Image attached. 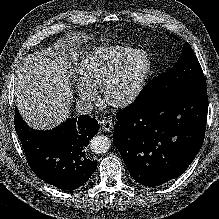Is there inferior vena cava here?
I'll list each match as a JSON object with an SVG mask.
<instances>
[{
  "label": "inferior vena cava",
  "mask_w": 219,
  "mask_h": 219,
  "mask_svg": "<svg viewBox=\"0 0 219 219\" xmlns=\"http://www.w3.org/2000/svg\"><path fill=\"white\" fill-rule=\"evenodd\" d=\"M93 107V103L89 100H78L76 102V111L80 114H90Z\"/></svg>",
  "instance_id": "obj_1"
}]
</instances>
